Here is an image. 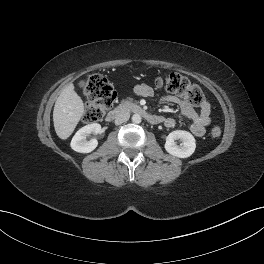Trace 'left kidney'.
<instances>
[{
	"label": "left kidney",
	"mask_w": 264,
	"mask_h": 264,
	"mask_svg": "<svg viewBox=\"0 0 264 264\" xmlns=\"http://www.w3.org/2000/svg\"><path fill=\"white\" fill-rule=\"evenodd\" d=\"M176 139H180L182 143L177 145L175 142ZM164 147L169 154L175 157L187 158L194 153L196 142L191 133L183 130H176L167 136Z\"/></svg>",
	"instance_id": "left-kidney-1"
}]
</instances>
